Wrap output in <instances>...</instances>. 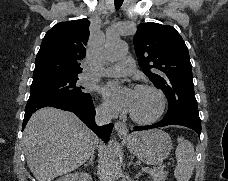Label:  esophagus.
<instances>
[{"mask_svg":"<svg viewBox=\"0 0 228 181\" xmlns=\"http://www.w3.org/2000/svg\"><path fill=\"white\" fill-rule=\"evenodd\" d=\"M115 130L119 137H126L129 134L128 127L124 123H115Z\"/></svg>","mask_w":228,"mask_h":181,"instance_id":"34e87169","label":"esophagus"}]
</instances>
